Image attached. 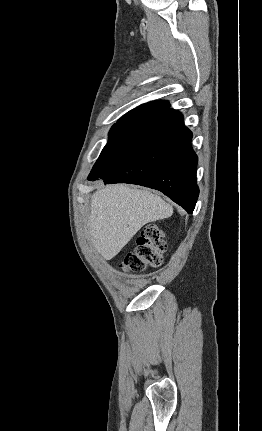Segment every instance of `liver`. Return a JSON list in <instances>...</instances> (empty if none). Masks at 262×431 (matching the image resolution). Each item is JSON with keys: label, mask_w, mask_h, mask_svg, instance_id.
Masks as SVG:
<instances>
[{"label": "liver", "mask_w": 262, "mask_h": 431, "mask_svg": "<svg viewBox=\"0 0 262 431\" xmlns=\"http://www.w3.org/2000/svg\"><path fill=\"white\" fill-rule=\"evenodd\" d=\"M172 214L173 207L148 190L126 185L107 186L91 197L90 241L104 259L110 260L142 226Z\"/></svg>", "instance_id": "6515ba94"}]
</instances>
